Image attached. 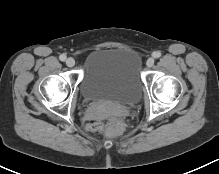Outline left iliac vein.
Returning a JSON list of instances; mask_svg holds the SVG:
<instances>
[{"mask_svg": "<svg viewBox=\"0 0 219 174\" xmlns=\"http://www.w3.org/2000/svg\"><path fill=\"white\" fill-rule=\"evenodd\" d=\"M147 67H152L154 65V59L152 57L148 58L146 61Z\"/></svg>", "mask_w": 219, "mask_h": 174, "instance_id": "obj_1", "label": "left iliac vein"}]
</instances>
